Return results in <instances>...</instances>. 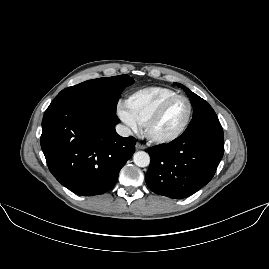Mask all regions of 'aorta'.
<instances>
[{"label": "aorta", "instance_id": "1", "mask_svg": "<svg viewBox=\"0 0 269 269\" xmlns=\"http://www.w3.org/2000/svg\"><path fill=\"white\" fill-rule=\"evenodd\" d=\"M133 161L138 167H147L150 163V157L148 153L144 151H138L134 153Z\"/></svg>", "mask_w": 269, "mask_h": 269}]
</instances>
